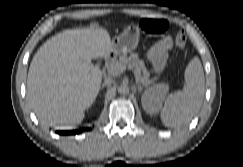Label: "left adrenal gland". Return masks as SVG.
I'll return each instance as SVG.
<instances>
[{"label": "left adrenal gland", "instance_id": "a2214340", "mask_svg": "<svg viewBox=\"0 0 243 167\" xmlns=\"http://www.w3.org/2000/svg\"><path fill=\"white\" fill-rule=\"evenodd\" d=\"M135 88H137L139 93L143 90V86H141L140 84H136Z\"/></svg>", "mask_w": 243, "mask_h": 167}]
</instances>
